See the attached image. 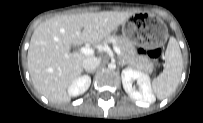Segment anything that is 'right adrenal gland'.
Returning a JSON list of instances; mask_svg holds the SVG:
<instances>
[{
    "mask_svg": "<svg viewBox=\"0 0 203 123\" xmlns=\"http://www.w3.org/2000/svg\"><path fill=\"white\" fill-rule=\"evenodd\" d=\"M86 72H87V73H92V74H93V73H94V70H93V71H87V70H86Z\"/></svg>",
    "mask_w": 203,
    "mask_h": 123,
    "instance_id": "1",
    "label": "right adrenal gland"
}]
</instances>
